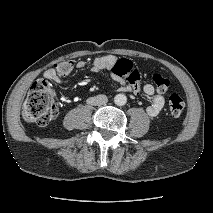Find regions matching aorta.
Listing matches in <instances>:
<instances>
[{
  "instance_id": "aorta-1",
  "label": "aorta",
  "mask_w": 213,
  "mask_h": 213,
  "mask_svg": "<svg viewBox=\"0 0 213 213\" xmlns=\"http://www.w3.org/2000/svg\"><path fill=\"white\" fill-rule=\"evenodd\" d=\"M114 102L116 105L118 106H123L126 104L127 102V97L124 95V94H117L115 97H114Z\"/></svg>"
}]
</instances>
